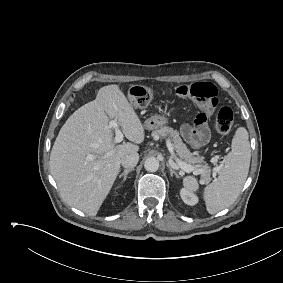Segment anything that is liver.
<instances>
[{
  "label": "liver",
  "instance_id": "1",
  "mask_svg": "<svg viewBox=\"0 0 283 283\" xmlns=\"http://www.w3.org/2000/svg\"><path fill=\"white\" fill-rule=\"evenodd\" d=\"M109 118L133 143L116 145ZM144 138V125L119 86L102 87L95 100L67 119L54 142L50 169L62 199L95 216L120 172L121 159L138 152Z\"/></svg>",
  "mask_w": 283,
  "mask_h": 283
}]
</instances>
